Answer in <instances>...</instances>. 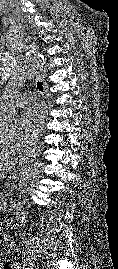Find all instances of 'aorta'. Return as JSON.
<instances>
[{
	"mask_svg": "<svg viewBox=\"0 0 118 269\" xmlns=\"http://www.w3.org/2000/svg\"><path fill=\"white\" fill-rule=\"evenodd\" d=\"M44 63V57L39 54L29 55L22 59L17 70L9 80L5 94L0 98V119L6 125L14 126L18 123L20 113L15 105V98L22 85L29 80ZM44 165L36 163L26 168L21 175L19 186L27 190L43 173Z\"/></svg>",
	"mask_w": 118,
	"mask_h": 269,
	"instance_id": "obj_1",
	"label": "aorta"
}]
</instances>
